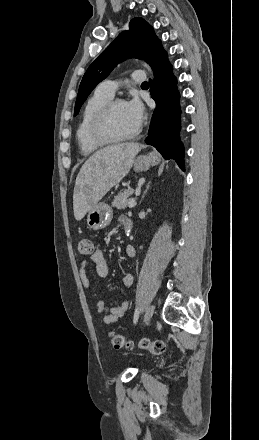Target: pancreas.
Listing matches in <instances>:
<instances>
[{"instance_id":"obj_1","label":"pancreas","mask_w":259,"mask_h":440,"mask_svg":"<svg viewBox=\"0 0 259 440\" xmlns=\"http://www.w3.org/2000/svg\"><path fill=\"white\" fill-rule=\"evenodd\" d=\"M134 192L133 189L128 188L122 192H119L115 198L114 201L112 202V206L121 210V209H125L128 205V202L131 199H128L130 195H132Z\"/></svg>"}]
</instances>
